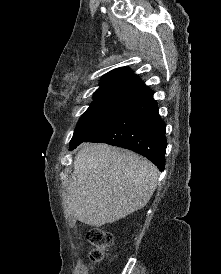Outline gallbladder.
Segmentation results:
<instances>
[{"mask_svg":"<svg viewBox=\"0 0 221 274\" xmlns=\"http://www.w3.org/2000/svg\"><path fill=\"white\" fill-rule=\"evenodd\" d=\"M72 221L75 222L76 221V217L72 216Z\"/></svg>","mask_w":221,"mask_h":274,"instance_id":"1","label":"gallbladder"}]
</instances>
